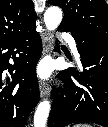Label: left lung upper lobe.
Masks as SVG:
<instances>
[{"mask_svg": "<svg viewBox=\"0 0 108 127\" xmlns=\"http://www.w3.org/2000/svg\"><path fill=\"white\" fill-rule=\"evenodd\" d=\"M64 11L59 28L71 31L80 46L108 41V5L105 0H49Z\"/></svg>", "mask_w": 108, "mask_h": 127, "instance_id": "left-lung-upper-lobe-1", "label": "left lung upper lobe"}]
</instances>
